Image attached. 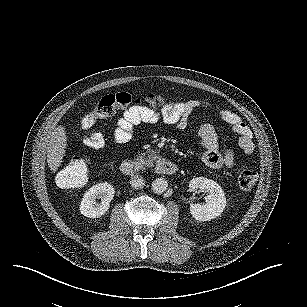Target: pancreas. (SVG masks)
Here are the masks:
<instances>
[{
    "label": "pancreas",
    "mask_w": 307,
    "mask_h": 307,
    "mask_svg": "<svg viewBox=\"0 0 307 307\" xmlns=\"http://www.w3.org/2000/svg\"><path fill=\"white\" fill-rule=\"evenodd\" d=\"M156 158L153 153H140L136 157V168L138 170H145L146 168L154 167V159Z\"/></svg>",
    "instance_id": "cf45deb5"
}]
</instances>
